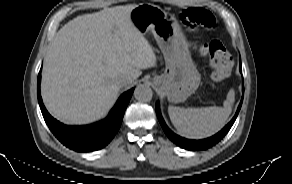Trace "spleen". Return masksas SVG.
Returning <instances> with one entry per match:
<instances>
[{
    "mask_svg": "<svg viewBox=\"0 0 292 184\" xmlns=\"http://www.w3.org/2000/svg\"><path fill=\"white\" fill-rule=\"evenodd\" d=\"M234 91L230 90L223 107L180 108L169 106L171 122L178 133L190 139H202L218 132L232 111Z\"/></svg>",
    "mask_w": 292,
    "mask_h": 184,
    "instance_id": "obj_1",
    "label": "spleen"
}]
</instances>
